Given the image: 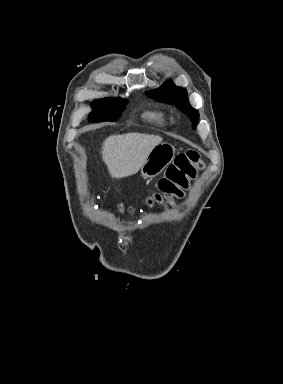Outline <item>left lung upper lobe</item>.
<instances>
[{
    "mask_svg": "<svg viewBox=\"0 0 283 384\" xmlns=\"http://www.w3.org/2000/svg\"><path fill=\"white\" fill-rule=\"evenodd\" d=\"M147 94L149 97L156 98L160 101L175 104L178 109L190 116L193 128H196L199 113L189 104L187 92L184 88L176 87L171 81H168L160 88Z\"/></svg>",
    "mask_w": 283,
    "mask_h": 384,
    "instance_id": "5c2ea615",
    "label": "left lung upper lobe"
}]
</instances>
